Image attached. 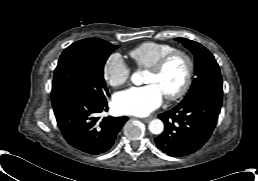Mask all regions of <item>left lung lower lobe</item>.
<instances>
[{
  "label": "left lung lower lobe",
  "instance_id": "left-lung-lower-lobe-1",
  "mask_svg": "<svg viewBox=\"0 0 258 181\" xmlns=\"http://www.w3.org/2000/svg\"><path fill=\"white\" fill-rule=\"evenodd\" d=\"M222 97V93H206L160 114L165 129L155 138L157 147L172 157L186 156L201 148L216 126Z\"/></svg>",
  "mask_w": 258,
  "mask_h": 181
}]
</instances>
